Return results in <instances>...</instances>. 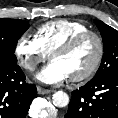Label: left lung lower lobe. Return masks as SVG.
I'll return each instance as SVG.
<instances>
[{"instance_id": "left-lung-lower-lobe-1", "label": "left lung lower lobe", "mask_w": 118, "mask_h": 118, "mask_svg": "<svg viewBox=\"0 0 118 118\" xmlns=\"http://www.w3.org/2000/svg\"><path fill=\"white\" fill-rule=\"evenodd\" d=\"M71 94L65 118H118V73L89 81Z\"/></svg>"}]
</instances>
